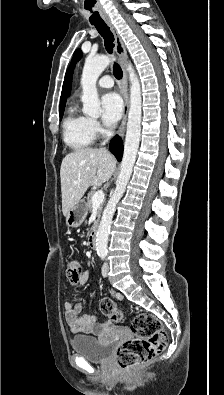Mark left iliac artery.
<instances>
[{
	"label": "left iliac artery",
	"mask_w": 224,
	"mask_h": 395,
	"mask_svg": "<svg viewBox=\"0 0 224 395\" xmlns=\"http://www.w3.org/2000/svg\"><path fill=\"white\" fill-rule=\"evenodd\" d=\"M107 254V251H99L98 255L101 257V259H105V256Z\"/></svg>",
	"instance_id": "obj_1"
}]
</instances>
